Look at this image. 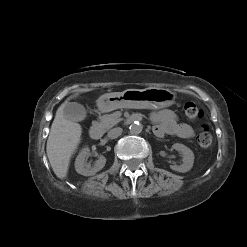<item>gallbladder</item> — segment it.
<instances>
[{
	"label": "gallbladder",
	"mask_w": 247,
	"mask_h": 247,
	"mask_svg": "<svg viewBox=\"0 0 247 247\" xmlns=\"http://www.w3.org/2000/svg\"><path fill=\"white\" fill-rule=\"evenodd\" d=\"M64 116L70 121H82L86 117V109L77 102H68L64 107Z\"/></svg>",
	"instance_id": "gallbladder-1"
}]
</instances>
